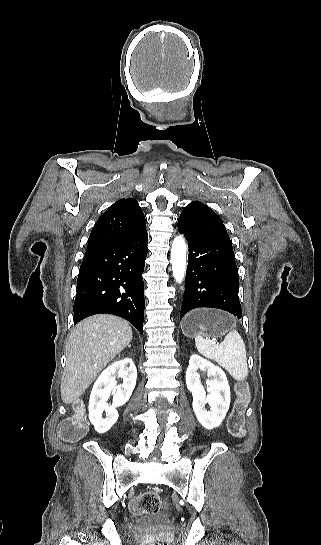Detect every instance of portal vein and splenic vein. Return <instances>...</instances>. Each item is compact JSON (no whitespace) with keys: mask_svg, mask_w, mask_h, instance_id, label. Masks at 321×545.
<instances>
[{"mask_svg":"<svg viewBox=\"0 0 321 545\" xmlns=\"http://www.w3.org/2000/svg\"><path fill=\"white\" fill-rule=\"evenodd\" d=\"M212 344L218 347L220 345V341L218 339H215L214 341H212Z\"/></svg>","mask_w":321,"mask_h":545,"instance_id":"portal-vein-and-splenic-vein-1","label":"portal vein and splenic vein"}]
</instances>
